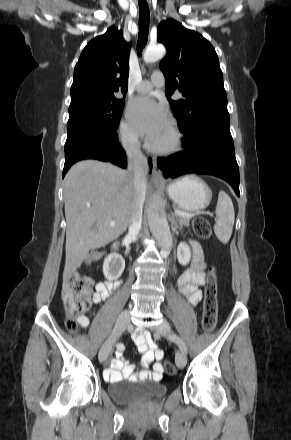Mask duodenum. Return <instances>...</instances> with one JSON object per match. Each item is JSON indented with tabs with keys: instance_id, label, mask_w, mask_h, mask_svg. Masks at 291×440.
<instances>
[{
	"instance_id": "1",
	"label": "duodenum",
	"mask_w": 291,
	"mask_h": 440,
	"mask_svg": "<svg viewBox=\"0 0 291 440\" xmlns=\"http://www.w3.org/2000/svg\"><path fill=\"white\" fill-rule=\"evenodd\" d=\"M119 247H120V245H119V243H115L114 245H113V251L114 252H117L118 250H119Z\"/></svg>"
}]
</instances>
